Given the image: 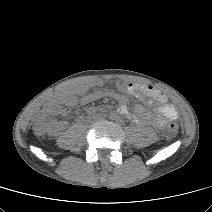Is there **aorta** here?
Here are the masks:
<instances>
[{
	"label": "aorta",
	"mask_w": 212,
	"mask_h": 212,
	"mask_svg": "<svg viewBox=\"0 0 212 212\" xmlns=\"http://www.w3.org/2000/svg\"><path fill=\"white\" fill-rule=\"evenodd\" d=\"M111 120L112 121H115V122H117V121H120L121 120V113L120 112H117V111H115V112H112L111 113Z\"/></svg>",
	"instance_id": "1"
}]
</instances>
